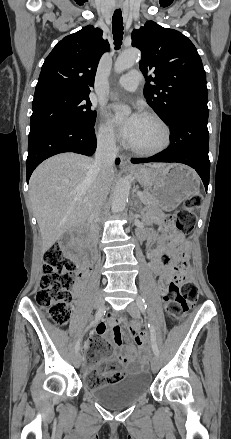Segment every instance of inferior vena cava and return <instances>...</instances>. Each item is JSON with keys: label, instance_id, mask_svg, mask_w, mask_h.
<instances>
[{"label": "inferior vena cava", "instance_id": "obj_1", "mask_svg": "<svg viewBox=\"0 0 231 439\" xmlns=\"http://www.w3.org/2000/svg\"><path fill=\"white\" fill-rule=\"evenodd\" d=\"M118 149L115 139L108 135L98 139L95 161L93 169L98 173V189L90 218L93 220L94 235L98 236V219L101 210L106 202L110 184L109 176L113 171V164L117 156Z\"/></svg>", "mask_w": 231, "mask_h": 439}]
</instances>
